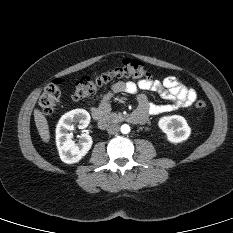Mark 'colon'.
I'll list each match as a JSON object with an SVG mask.
<instances>
[{
  "label": "colon",
  "mask_w": 233,
  "mask_h": 233,
  "mask_svg": "<svg viewBox=\"0 0 233 233\" xmlns=\"http://www.w3.org/2000/svg\"><path fill=\"white\" fill-rule=\"evenodd\" d=\"M150 76L149 70L142 62L133 59H124L113 68L81 78L74 86L72 97L75 100L88 98L94 95L102 85L114 79L133 78L146 80L150 79ZM60 96V81L48 84L39 98V106L42 111L47 115L53 114ZM195 106L198 110H202L206 107V102L198 100Z\"/></svg>",
  "instance_id": "1"
}]
</instances>
